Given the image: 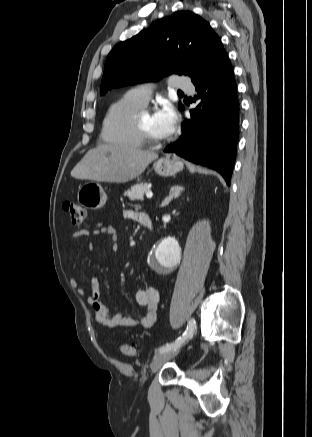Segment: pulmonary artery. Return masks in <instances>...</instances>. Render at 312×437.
<instances>
[{"instance_id":"1","label":"pulmonary artery","mask_w":312,"mask_h":437,"mask_svg":"<svg viewBox=\"0 0 312 437\" xmlns=\"http://www.w3.org/2000/svg\"><path fill=\"white\" fill-rule=\"evenodd\" d=\"M169 82L173 88L185 90L193 89L192 83L183 76H174ZM129 95L139 103L146 105L151 96V86L147 84L136 87L129 92Z\"/></svg>"}]
</instances>
